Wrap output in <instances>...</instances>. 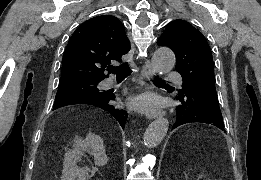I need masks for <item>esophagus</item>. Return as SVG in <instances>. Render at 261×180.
Instances as JSON below:
<instances>
[{
	"label": "esophagus",
	"instance_id": "1",
	"mask_svg": "<svg viewBox=\"0 0 261 180\" xmlns=\"http://www.w3.org/2000/svg\"><path fill=\"white\" fill-rule=\"evenodd\" d=\"M155 71L152 68L151 64L146 61L144 62V64L142 65V69H141V74L144 78L149 79L150 77H152L154 75ZM163 111L158 109V110H150L146 112V116L147 118H149L150 120H153L154 118L157 117H161L163 115Z\"/></svg>",
	"mask_w": 261,
	"mask_h": 180
}]
</instances>
